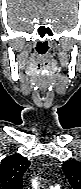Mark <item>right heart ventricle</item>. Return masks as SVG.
Here are the masks:
<instances>
[{"mask_svg": "<svg viewBox=\"0 0 81 189\" xmlns=\"http://www.w3.org/2000/svg\"><path fill=\"white\" fill-rule=\"evenodd\" d=\"M49 189H60V188H56V187H50Z\"/></svg>", "mask_w": 81, "mask_h": 189, "instance_id": "right-heart-ventricle-1", "label": "right heart ventricle"}]
</instances>
